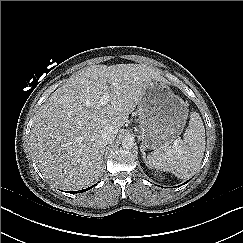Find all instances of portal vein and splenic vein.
<instances>
[{
  "mask_svg": "<svg viewBox=\"0 0 243 243\" xmlns=\"http://www.w3.org/2000/svg\"><path fill=\"white\" fill-rule=\"evenodd\" d=\"M109 98H110L109 92L105 91L100 99V105L105 106L109 102Z\"/></svg>",
  "mask_w": 243,
  "mask_h": 243,
  "instance_id": "portal-vein-and-splenic-vein-1",
  "label": "portal vein and splenic vein"
}]
</instances>
